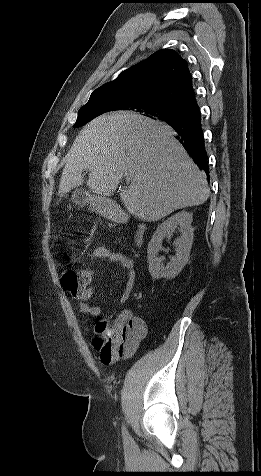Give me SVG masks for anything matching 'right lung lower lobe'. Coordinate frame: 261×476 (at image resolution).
Returning a JSON list of instances; mask_svg holds the SVG:
<instances>
[{
	"label": "right lung lower lobe",
	"instance_id": "1",
	"mask_svg": "<svg viewBox=\"0 0 261 476\" xmlns=\"http://www.w3.org/2000/svg\"><path fill=\"white\" fill-rule=\"evenodd\" d=\"M178 135L179 141L193 161L209 176L208 156L201 128V113L198 106L186 110L183 115L167 123Z\"/></svg>",
	"mask_w": 261,
	"mask_h": 476
}]
</instances>
